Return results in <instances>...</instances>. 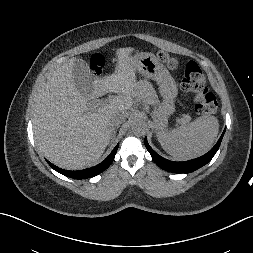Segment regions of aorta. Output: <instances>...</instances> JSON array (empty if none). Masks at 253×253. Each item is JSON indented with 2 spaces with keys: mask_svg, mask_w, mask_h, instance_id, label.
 I'll return each instance as SVG.
<instances>
[{
  "mask_svg": "<svg viewBox=\"0 0 253 253\" xmlns=\"http://www.w3.org/2000/svg\"><path fill=\"white\" fill-rule=\"evenodd\" d=\"M148 127L147 124L145 123V121H143L142 119H136L132 125V132L135 135H145V133L147 132Z\"/></svg>",
  "mask_w": 253,
  "mask_h": 253,
  "instance_id": "obj_1",
  "label": "aorta"
}]
</instances>
